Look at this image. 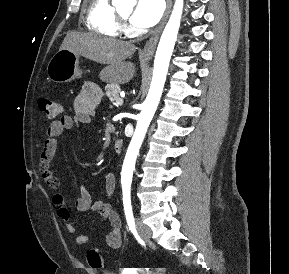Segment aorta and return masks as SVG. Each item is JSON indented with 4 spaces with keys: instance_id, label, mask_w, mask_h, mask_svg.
<instances>
[{
    "instance_id": "762f6f07",
    "label": "aorta",
    "mask_w": 289,
    "mask_h": 274,
    "mask_svg": "<svg viewBox=\"0 0 289 274\" xmlns=\"http://www.w3.org/2000/svg\"><path fill=\"white\" fill-rule=\"evenodd\" d=\"M113 1L115 4H122L129 0ZM182 11L183 0H176L172 14L158 44L150 89L143 103L141 113L139 114L137 120L135 132L124 159L121 173V181L123 185L131 184L137 155L139 153L149 124L158 107L168 72L169 61L177 39Z\"/></svg>"
}]
</instances>
